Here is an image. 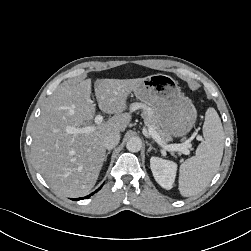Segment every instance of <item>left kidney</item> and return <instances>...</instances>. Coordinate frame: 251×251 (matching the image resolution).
Returning <instances> with one entry per match:
<instances>
[{
	"mask_svg": "<svg viewBox=\"0 0 251 251\" xmlns=\"http://www.w3.org/2000/svg\"><path fill=\"white\" fill-rule=\"evenodd\" d=\"M150 168L156 182L164 189L170 190L173 187L177 164L170 160L159 157H151Z\"/></svg>",
	"mask_w": 251,
	"mask_h": 251,
	"instance_id": "1",
	"label": "left kidney"
}]
</instances>
